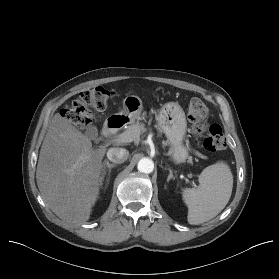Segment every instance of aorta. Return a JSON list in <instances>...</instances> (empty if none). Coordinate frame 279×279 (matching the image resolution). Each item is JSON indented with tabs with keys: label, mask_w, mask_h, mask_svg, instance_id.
<instances>
[{
	"label": "aorta",
	"mask_w": 279,
	"mask_h": 279,
	"mask_svg": "<svg viewBox=\"0 0 279 279\" xmlns=\"http://www.w3.org/2000/svg\"><path fill=\"white\" fill-rule=\"evenodd\" d=\"M137 169L142 173H151L154 170V163L149 158H142L138 162Z\"/></svg>",
	"instance_id": "1"
}]
</instances>
